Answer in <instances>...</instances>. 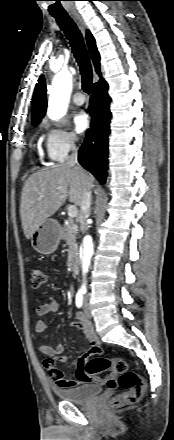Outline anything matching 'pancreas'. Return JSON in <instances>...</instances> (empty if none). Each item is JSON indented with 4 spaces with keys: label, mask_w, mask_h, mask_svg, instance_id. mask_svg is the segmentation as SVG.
<instances>
[{
    "label": "pancreas",
    "mask_w": 174,
    "mask_h": 440,
    "mask_svg": "<svg viewBox=\"0 0 174 440\" xmlns=\"http://www.w3.org/2000/svg\"><path fill=\"white\" fill-rule=\"evenodd\" d=\"M78 231L77 224L72 220L68 219L64 222V225L60 228V236L64 239L69 246L68 255L69 258L77 254L78 246L76 244V234Z\"/></svg>",
    "instance_id": "1"
}]
</instances>
